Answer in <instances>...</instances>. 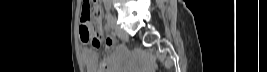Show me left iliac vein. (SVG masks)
I'll list each match as a JSON object with an SVG mask.
<instances>
[{
  "label": "left iliac vein",
  "mask_w": 267,
  "mask_h": 72,
  "mask_svg": "<svg viewBox=\"0 0 267 72\" xmlns=\"http://www.w3.org/2000/svg\"><path fill=\"white\" fill-rule=\"evenodd\" d=\"M112 23H113V28H114L115 33L117 34V36L122 40L128 39L127 32L117 25L115 16H112Z\"/></svg>",
  "instance_id": "obj_1"
}]
</instances>
